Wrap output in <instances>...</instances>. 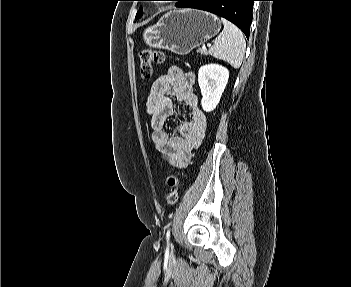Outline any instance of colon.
Returning a JSON list of instances; mask_svg holds the SVG:
<instances>
[{
	"label": "colon",
	"instance_id": "obj_1",
	"mask_svg": "<svg viewBox=\"0 0 351 287\" xmlns=\"http://www.w3.org/2000/svg\"><path fill=\"white\" fill-rule=\"evenodd\" d=\"M141 74L144 78H149L153 74L154 66L160 64L164 56L161 52L145 49L139 54ZM169 190L166 194L165 200L168 205L177 203L180 196V183L176 175L170 174L167 178Z\"/></svg>",
	"mask_w": 351,
	"mask_h": 287
}]
</instances>
